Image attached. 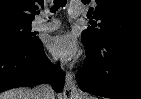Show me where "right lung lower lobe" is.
Instances as JSON below:
<instances>
[{
	"label": "right lung lower lobe",
	"instance_id": "obj_1",
	"mask_svg": "<svg viewBox=\"0 0 141 99\" xmlns=\"http://www.w3.org/2000/svg\"><path fill=\"white\" fill-rule=\"evenodd\" d=\"M64 78L62 70L46 57L39 39L29 44L0 43V92L43 82L61 92Z\"/></svg>",
	"mask_w": 141,
	"mask_h": 99
}]
</instances>
